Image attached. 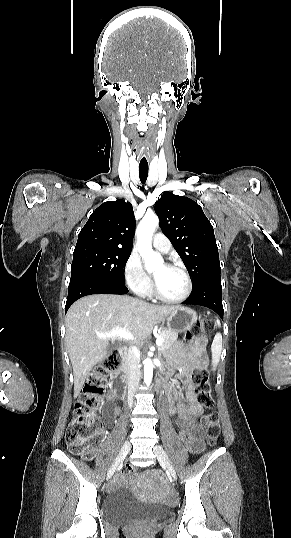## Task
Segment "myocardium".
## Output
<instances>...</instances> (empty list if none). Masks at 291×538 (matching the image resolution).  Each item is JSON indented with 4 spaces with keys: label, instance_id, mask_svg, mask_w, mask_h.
<instances>
[{
    "label": "myocardium",
    "instance_id": "myocardium-1",
    "mask_svg": "<svg viewBox=\"0 0 291 538\" xmlns=\"http://www.w3.org/2000/svg\"><path fill=\"white\" fill-rule=\"evenodd\" d=\"M165 266H167L168 268L176 269V270L180 271L183 274V276H184V278L186 280V289H185L184 293L181 296L176 297V298H169V297L164 296L160 292L155 280H153L152 292H153V294L155 295L156 298H158L159 300H161L163 302L172 303V304L181 303V302L185 301L190 296V294L192 292V289H193V283H192V279L190 277V274L188 273V271L185 269L184 266H182L181 264L176 263V262L166 263Z\"/></svg>",
    "mask_w": 291,
    "mask_h": 538
}]
</instances>
